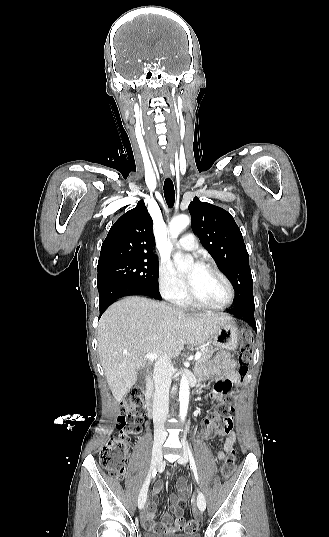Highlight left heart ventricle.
I'll return each instance as SVG.
<instances>
[{
    "instance_id": "1",
    "label": "left heart ventricle",
    "mask_w": 329,
    "mask_h": 537,
    "mask_svg": "<svg viewBox=\"0 0 329 537\" xmlns=\"http://www.w3.org/2000/svg\"><path fill=\"white\" fill-rule=\"evenodd\" d=\"M188 277L192 278L191 289L202 301L210 304H223L227 301L229 293L224 281L214 272L205 268L193 266L188 271Z\"/></svg>"
}]
</instances>
